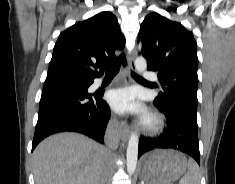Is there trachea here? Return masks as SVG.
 <instances>
[{
	"label": "trachea",
	"instance_id": "obj_1",
	"mask_svg": "<svg viewBox=\"0 0 235 184\" xmlns=\"http://www.w3.org/2000/svg\"><path fill=\"white\" fill-rule=\"evenodd\" d=\"M121 64L126 65V59L124 55H121L119 58L114 60V62L104 67L106 70V77H114L118 73ZM132 76L135 79H139L141 81L145 80L134 72H132Z\"/></svg>",
	"mask_w": 235,
	"mask_h": 184
}]
</instances>
